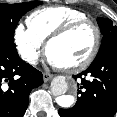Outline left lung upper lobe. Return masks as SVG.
<instances>
[{
	"mask_svg": "<svg viewBox=\"0 0 117 117\" xmlns=\"http://www.w3.org/2000/svg\"><path fill=\"white\" fill-rule=\"evenodd\" d=\"M97 22L103 35V39L96 57L100 56L109 47L117 43V26H114L113 22L106 18H98Z\"/></svg>",
	"mask_w": 117,
	"mask_h": 117,
	"instance_id": "obj_1",
	"label": "left lung upper lobe"
}]
</instances>
